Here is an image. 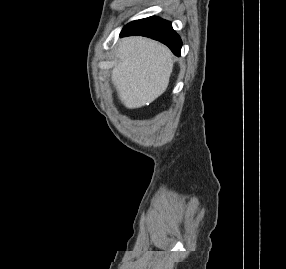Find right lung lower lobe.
<instances>
[{"instance_id":"right-lung-lower-lobe-1","label":"right lung lower lobe","mask_w":286,"mask_h":269,"mask_svg":"<svg viewBox=\"0 0 286 269\" xmlns=\"http://www.w3.org/2000/svg\"><path fill=\"white\" fill-rule=\"evenodd\" d=\"M130 35H142L158 40L167 45L175 55H180L182 42L169 21L159 17L134 21L121 32V37Z\"/></svg>"}]
</instances>
